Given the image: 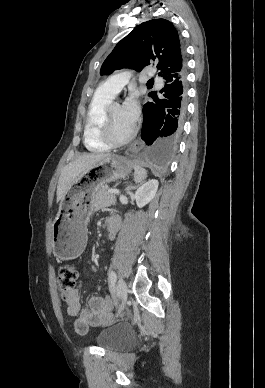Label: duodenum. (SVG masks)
Returning <instances> with one entry per match:
<instances>
[{
  "label": "duodenum",
  "mask_w": 265,
  "mask_h": 388,
  "mask_svg": "<svg viewBox=\"0 0 265 388\" xmlns=\"http://www.w3.org/2000/svg\"><path fill=\"white\" fill-rule=\"evenodd\" d=\"M117 227V222L114 218H108L106 221V230L108 233H112L115 231Z\"/></svg>",
  "instance_id": "1"
}]
</instances>
